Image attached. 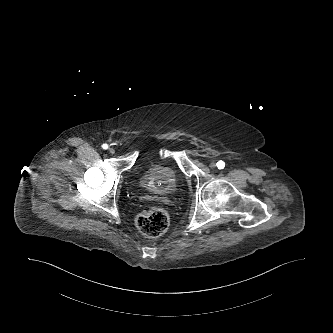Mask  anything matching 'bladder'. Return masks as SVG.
Returning <instances> with one entry per match:
<instances>
[{
    "label": "bladder",
    "mask_w": 333,
    "mask_h": 333,
    "mask_svg": "<svg viewBox=\"0 0 333 333\" xmlns=\"http://www.w3.org/2000/svg\"><path fill=\"white\" fill-rule=\"evenodd\" d=\"M140 186L149 193L170 195L175 193L181 184V176L175 166L167 162L149 164L141 173Z\"/></svg>",
    "instance_id": "1"
}]
</instances>
